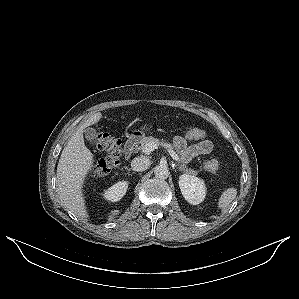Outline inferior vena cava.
Listing matches in <instances>:
<instances>
[{"mask_svg": "<svg viewBox=\"0 0 299 299\" xmlns=\"http://www.w3.org/2000/svg\"><path fill=\"white\" fill-rule=\"evenodd\" d=\"M149 166H150L149 159L146 158L145 156L136 157L131 162V168L133 171L136 172L145 171L146 169H148Z\"/></svg>", "mask_w": 299, "mask_h": 299, "instance_id": "602c4592", "label": "inferior vena cava"}]
</instances>
